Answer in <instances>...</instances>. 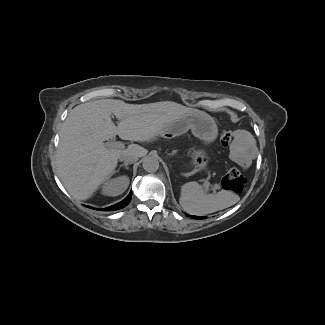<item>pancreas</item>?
<instances>
[{
  "mask_svg": "<svg viewBox=\"0 0 325 325\" xmlns=\"http://www.w3.org/2000/svg\"><path fill=\"white\" fill-rule=\"evenodd\" d=\"M173 145L174 146H179V148L183 151H187L188 156H193L194 155V150L189 149V145L186 142H181L180 139H174L173 140Z\"/></svg>",
  "mask_w": 325,
  "mask_h": 325,
  "instance_id": "1",
  "label": "pancreas"
}]
</instances>
